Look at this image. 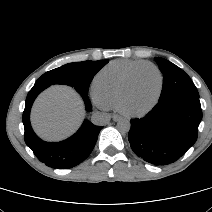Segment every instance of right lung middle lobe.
Wrapping results in <instances>:
<instances>
[{
    "instance_id": "obj_1",
    "label": "right lung middle lobe",
    "mask_w": 212,
    "mask_h": 212,
    "mask_svg": "<svg viewBox=\"0 0 212 212\" xmlns=\"http://www.w3.org/2000/svg\"><path fill=\"white\" fill-rule=\"evenodd\" d=\"M108 60L83 61L65 64L59 68L43 74L35 84H65L74 87L81 93L88 94V89L94 74L99 71Z\"/></svg>"
}]
</instances>
